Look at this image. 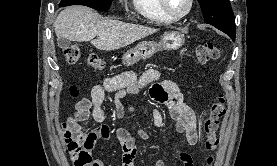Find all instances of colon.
<instances>
[{
    "mask_svg": "<svg viewBox=\"0 0 277 166\" xmlns=\"http://www.w3.org/2000/svg\"><path fill=\"white\" fill-rule=\"evenodd\" d=\"M80 49L77 45H69L64 49V57L69 65L76 64L80 59ZM221 55V48L213 43H205L200 45L195 50L196 62L200 65L207 64L211 61L217 60ZM88 64L95 69H102L104 67L103 61L94 53L90 54L87 59ZM70 93L73 97L78 95V89L72 86ZM226 112V103L222 95L212 103L208 117L205 119L203 128L205 132L204 147L210 153L207 157V166H213L214 156L213 152L217 149L219 139L217 131L219 123ZM65 142L68 151L74 162V166H89L92 159L86 155L81 148L84 139V131L79 124L72 122H65L63 124Z\"/></svg>",
    "mask_w": 277,
    "mask_h": 166,
    "instance_id": "colon-1",
    "label": "colon"
}]
</instances>
